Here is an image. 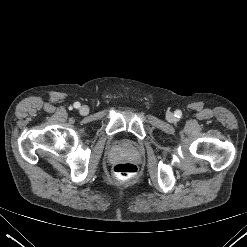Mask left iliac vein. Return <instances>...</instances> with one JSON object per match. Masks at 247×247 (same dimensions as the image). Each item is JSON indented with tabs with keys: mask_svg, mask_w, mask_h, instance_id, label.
Instances as JSON below:
<instances>
[{
	"mask_svg": "<svg viewBox=\"0 0 247 247\" xmlns=\"http://www.w3.org/2000/svg\"><path fill=\"white\" fill-rule=\"evenodd\" d=\"M166 118L169 122H173L175 120V117L172 113H168Z\"/></svg>",
	"mask_w": 247,
	"mask_h": 247,
	"instance_id": "1",
	"label": "left iliac vein"
}]
</instances>
